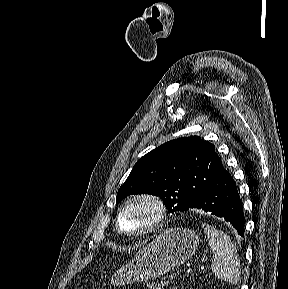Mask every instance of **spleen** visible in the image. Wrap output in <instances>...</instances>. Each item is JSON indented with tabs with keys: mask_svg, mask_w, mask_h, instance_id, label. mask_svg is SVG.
Listing matches in <instances>:
<instances>
[{
	"mask_svg": "<svg viewBox=\"0 0 288 289\" xmlns=\"http://www.w3.org/2000/svg\"><path fill=\"white\" fill-rule=\"evenodd\" d=\"M212 250V272L215 276L230 284L240 280V259L234 243L229 236L209 225L203 224Z\"/></svg>",
	"mask_w": 288,
	"mask_h": 289,
	"instance_id": "1",
	"label": "spleen"
}]
</instances>
